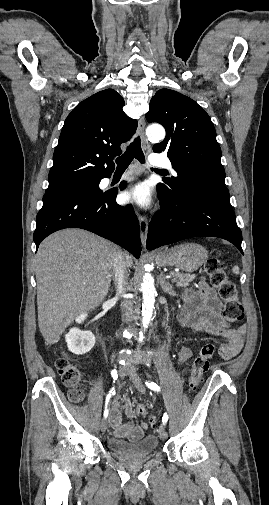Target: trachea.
Returning <instances> with one entry per match:
<instances>
[{
	"label": "trachea",
	"instance_id": "obj_1",
	"mask_svg": "<svg viewBox=\"0 0 269 505\" xmlns=\"http://www.w3.org/2000/svg\"><path fill=\"white\" fill-rule=\"evenodd\" d=\"M134 158H136L140 163H145V156L141 148L140 137L135 138L134 141L127 147L126 152L116 159L117 170H125ZM155 170L165 172L164 170Z\"/></svg>",
	"mask_w": 269,
	"mask_h": 505
}]
</instances>
